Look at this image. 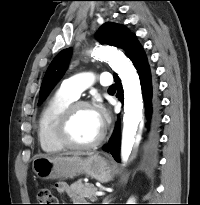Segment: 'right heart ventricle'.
<instances>
[{
  "mask_svg": "<svg viewBox=\"0 0 200 205\" xmlns=\"http://www.w3.org/2000/svg\"><path fill=\"white\" fill-rule=\"evenodd\" d=\"M74 100L59 90L43 107L38 121V139L43 151L56 153L65 148L57 139L56 126L61 113Z\"/></svg>",
  "mask_w": 200,
  "mask_h": 205,
  "instance_id": "right-heart-ventricle-1",
  "label": "right heart ventricle"
}]
</instances>
